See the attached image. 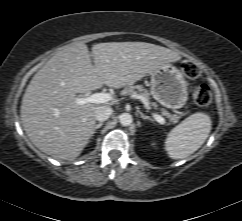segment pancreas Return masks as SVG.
<instances>
[{"label":"pancreas","mask_w":242,"mask_h":221,"mask_svg":"<svg viewBox=\"0 0 242 221\" xmlns=\"http://www.w3.org/2000/svg\"><path fill=\"white\" fill-rule=\"evenodd\" d=\"M122 95L125 96H131L136 98L137 95L141 96L145 100V105L149 108H157V104L154 102H151L150 94L149 92L143 88L141 85H132L130 84L128 87H126L122 92ZM163 114L170 118V120L174 123L178 121L177 115H171L167 111L163 110Z\"/></svg>","instance_id":"obj_1"}]
</instances>
